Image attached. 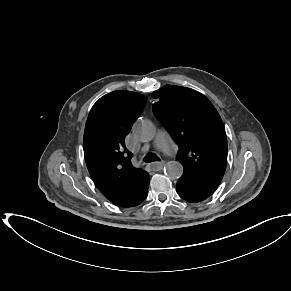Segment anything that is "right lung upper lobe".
Returning <instances> with one entry per match:
<instances>
[{
    "label": "right lung upper lobe",
    "instance_id": "cb5924a9",
    "mask_svg": "<svg viewBox=\"0 0 291 291\" xmlns=\"http://www.w3.org/2000/svg\"><path fill=\"white\" fill-rule=\"evenodd\" d=\"M145 104V97L130 91H113L91 108L83 138L84 157L97 188L114 204L142 199L149 174L131 164L124 143Z\"/></svg>",
    "mask_w": 291,
    "mask_h": 291
}]
</instances>
